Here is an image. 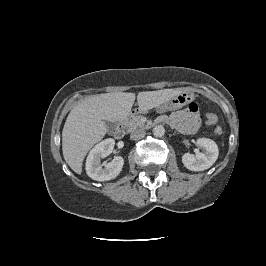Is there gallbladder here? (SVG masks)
Instances as JSON below:
<instances>
[{"label":"gallbladder","mask_w":266,"mask_h":266,"mask_svg":"<svg viewBox=\"0 0 266 266\" xmlns=\"http://www.w3.org/2000/svg\"><path fill=\"white\" fill-rule=\"evenodd\" d=\"M105 123H106V126H107V128L109 130H111V131L115 130V128H116V124L115 123L110 122V121H106Z\"/></svg>","instance_id":"bac80fb5"}]
</instances>
